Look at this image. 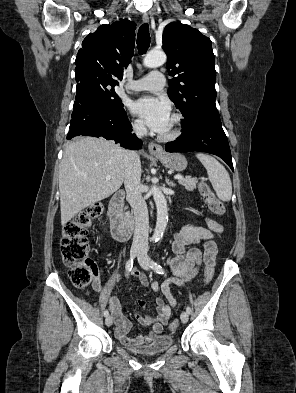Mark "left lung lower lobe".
Masks as SVG:
<instances>
[{"label":"left lung lower lobe","mask_w":296,"mask_h":393,"mask_svg":"<svg viewBox=\"0 0 296 393\" xmlns=\"http://www.w3.org/2000/svg\"><path fill=\"white\" fill-rule=\"evenodd\" d=\"M167 152H207L222 158L233 170L227 137L218 113H206L196 117L183 127L181 136L165 146Z\"/></svg>","instance_id":"1"}]
</instances>
